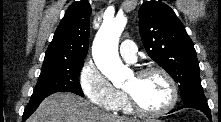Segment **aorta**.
<instances>
[{"label":"aorta","mask_w":221,"mask_h":122,"mask_svg":"<svg viewBox=\"0 0 221 122\" xmlns=\"http://www.w3.org/2000/svg\"><path fill=\"white\" fill-rule=\"evenodd\" d=\"M126 23L127 18L123 15L104 21L92 46L96 66L116 87H121L125 83L128 74V69L118 54L119 38Z\"/></svg>","instance_id":"762f6f07"}]
</instances>
